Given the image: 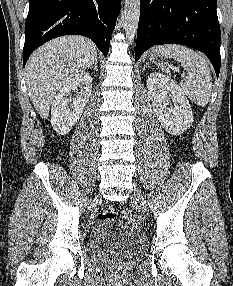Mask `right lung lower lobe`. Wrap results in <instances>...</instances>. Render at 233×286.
Listing matches in <instances>:
<instances>
[{"label":"right lung lower lobe","mask_w":233,"mask_h":286,"mask_svg":"<svg viewBox=\"0 0 233 286\" xmlns=\"http://www.w3.org/2000/svg\"><path fill=\"white\" fill-rule=\"evenodd\" d=\"M120 7L121 0H30L23 66L36 48L70 34L90 38L107 56Z\"/></svg>","instance_id":"1"}]
</instances>
